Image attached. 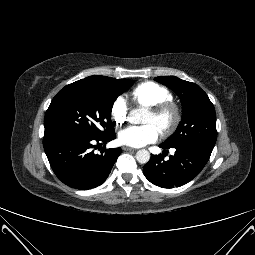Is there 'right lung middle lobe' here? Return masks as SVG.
Returning <instances> with one entry per match:
<instances>
[{
    "label": "right lung middle lobe",
    "mask_w": 255,
    "mask_h": 255,
    "mask_svg": "<svg viewBox=\"0 0 255 255\" xmlns=\"http://www.w3.org/2000/svg\"><path fill=\"white\" fill-rule=\"evenodd\" d=\"M132 84L133 80L112 78L104 84L78 85L58 93L46 112L44 135L80 133L97 138L113 132V103Z\"/></svg>",
    "instance_id": "right-lung-middle-lobe-1"
}]
</instances>
